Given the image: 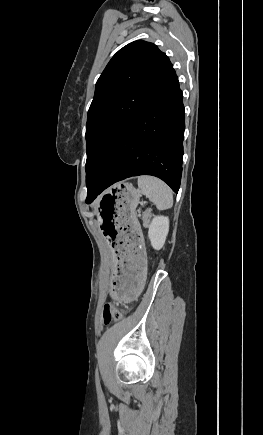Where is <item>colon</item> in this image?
Returning <instances> with one entry per match:
<instances>
[{
    "instance_id": "colon-1",
    "label": "colon",
    "mask_w": 263,
    "mask_h": 435,
    "mask_svg": "<svg viewBox=\"0 0 263 435\" xmlns=\"http://www.w3.org/2000/svg\"><path fill=\"white\" fill-rule=\"evenodd\" d=\"M122 308L116 304H106L102 311V318L105 324L110 323L112 320L121 318Z\"/></svg>"
}]
</instances>
